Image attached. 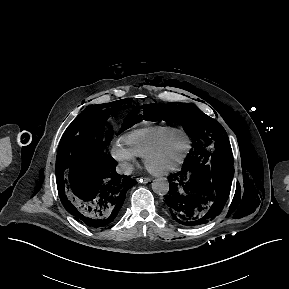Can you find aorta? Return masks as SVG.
I'll list each match as a JSON object with an SVG mask.
<instances>
[{
    "instance_id": "aorta-1",
    "label": "aorta",
    "mask_w": 289,
    "mask_h": 289,
    "mask_svg": "<svg viewBox=\"0 0 289 289\" xmlns=\"http://www.w3.org/2000/svg\"><path fill=\"white\" fill-rule=\"evenodd\" d=\"M152 190L158 195H166L169 191V182L167 178H158L152 182Z\"/></svg>"
}]
</instances>
